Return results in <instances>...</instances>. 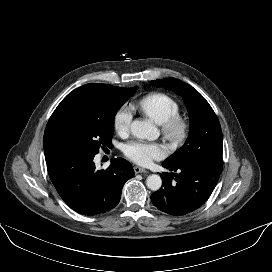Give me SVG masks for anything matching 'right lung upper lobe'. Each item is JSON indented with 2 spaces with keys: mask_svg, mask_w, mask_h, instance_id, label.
Masks as SVG:
<instances>
[{
  "mask_svg": "<svg viewBox=\"0 0 272 272\" xmlns=\"http://www.w3.org/2000/svg\"><path fill=\"white\" fill-rule=\"evenodd\" d=\"M132 88L113 87L107 84H86L69 93L51 115L44 134L46 144L50 128L64 119H103L108 114L111 102L127 95Z\"/></svg>",
  "mask_w": 272,
  "mask_h": 272,
  "instance_id": "cb5924a9",
  "label": "right lung upper lobe"
}]
</instances>
